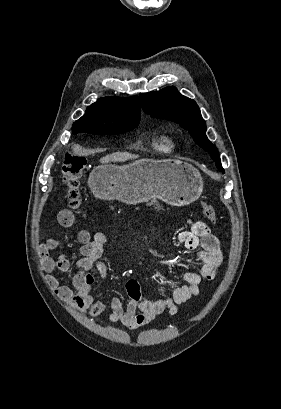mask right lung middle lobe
<instances>
[{"label": "right lung middle lobe", "mask_w": 281, "mask_h": 409, "mask_svg": "<svg viewBox=\"0 0 281 409\" xmlns=\"http://www.w3.org/2000/svg\"><path fill=\"white\" fill-rule=\"evenodd\" d=\"M135 127H137V125L128 126V127H81V128L72 130V132L74 134L79 133V132H87L91 134L113 135V134L125 133L127 131L134 129Z\"/></svg>", "instance_id": "dd1d6c3e"}]
</instances>
